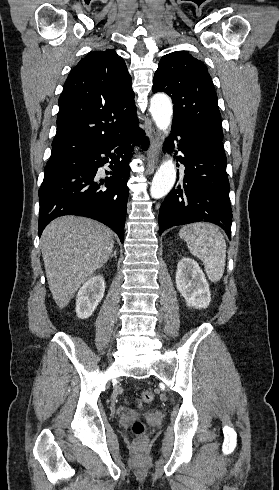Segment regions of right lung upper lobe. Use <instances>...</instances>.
Here are the masks:
<instances>
[{
  "instance_id": "1",
  "label": "right lung upper lobe",
  "mask_w": 279,
  "mask_h": 490,
  "mask_svg": "<svg viewBox=\"0 0 279 490\" xmlns=\"http://www.w3.org/2000/svg\"><path fill=\"white\" fill-rule=\"evenodd\" d=\"M58 104L57 132L47 164L74 160L138 123L131 76L112 49L89 53L71 70Z\"/></svg>"
}]
</instances>
